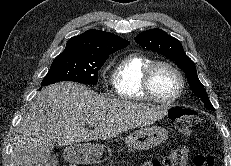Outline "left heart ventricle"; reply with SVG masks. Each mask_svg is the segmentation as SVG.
<instances>
[{"label": "left heart ventricle", "instance_id": "left-heart-ventricle-1", "mask_svg": "<svg viewBox=\"0 0 231 166\" xmlns=\"http://www.w3.org/2000/svg\"><path fill=\"white\" fill-rule=\"evenodd\" d=\"M152 87L156 95L163 99L171 98L178 90L176 74L166 66H159L152 77Z\"/></svg>", "mask_w": 231, "mask_h": 166}]
</instances>
